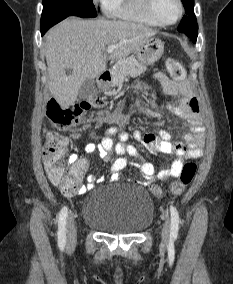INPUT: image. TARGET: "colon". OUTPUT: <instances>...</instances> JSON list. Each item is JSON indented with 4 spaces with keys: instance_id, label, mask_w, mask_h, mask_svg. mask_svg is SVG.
<instances>
[{
    "instance_id": "5ec220e1",
    "label": "colon",
    "mask_w": 233,
    "mask_h": 284,
    "mask_svg": "<svg viewBox=\"0 0 233 284\" xmlns=\"http://www.w3.org/2000/svg\"><path fill=\"white\" fill-rule=\"evenodd\" d=\"M166 67L174 80L182 81L185 78V69L179 61L169 58L166 61ZM104 104V99L97 95L71 107H62L55 99L50 100L47 104V118L56 130L50 131L46 135L43 150L44 160L52 169L56 186L65 195H73L79 191L83 175L79 171L65 170L59 164L60 157L67 144V139L62 132L68 131L81 123L85 112L101 108ZM196 169L194 162H187L183 165L179 178L170 186L173 195H181L184 192L193 180ZM149 191L156 198L162 195V191L157 185H151Z\"/></svg>"
}]
</instances>
